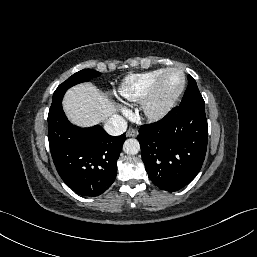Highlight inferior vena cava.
Returning a JSON list of instances; mask_svg holds the SVG:
<instances>
[{"mask_svg":"<svg viewBox=\"0 0 257 257\" xmlns=\"http://www.w3.org/2000/svg\"><path fill=\"white\" fill-rule=\"evenodd\" d=\"M105 131L113 136L123 134L127 129V122L121 116L112 115L104 124Z\"/></svg>","mask_w":257,"mask_h":257,"instance_id":"inferior-vena-cava-1","label":"inferior vena cava"}]
</instances>
